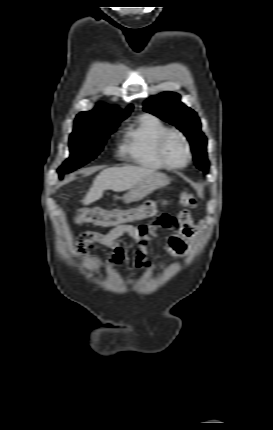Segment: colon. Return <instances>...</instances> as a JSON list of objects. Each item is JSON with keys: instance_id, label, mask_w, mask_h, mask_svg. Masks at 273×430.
<instances>
[{"instance_id": "5ec220e1", "label": "colon", "mask_w": 273, "mask_h": 430, "mask_svg": "<svg viewBox=\"0 0 273 430\" xmlns=\"http://www.w3.org/2000/svg\"><path fill=\"white\" fill-rule=\"evenodd\" d=\"M179 202L187 208H195L197 205L195 196L188 192L180 194ZM156 213L157 203L148 201L138 208L129 210L87 209L78 214L75 221L77 224L94 223L101 226L128 225V223L149 219ZM157 218H160V216ZM161 218L165 220L163 216ZM79 247V251L84 253L85 246L80 245Z\"/></svg>"}]
</instances>
